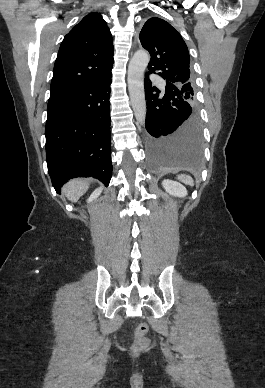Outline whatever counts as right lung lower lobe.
Listing matches in <instances>:
<instances>
[{"mask_svg": "<svg viewBox=\"0 0 265 388\" xmlns=\"http://www.w3.org/2000/svg\"><path fill=\"white\" fill-rule=\"evenodd\" d=\"M111 77L49 98L45 131L47 166L57 192L75 177L92 176L105 185L110 182Z\"/></svg>", "mask_w": 265, "mask_h": 388, "instance_id": "obj_1", "label": "right lung lower lobe"}]
</instances>
